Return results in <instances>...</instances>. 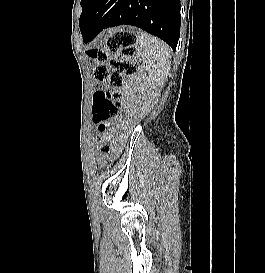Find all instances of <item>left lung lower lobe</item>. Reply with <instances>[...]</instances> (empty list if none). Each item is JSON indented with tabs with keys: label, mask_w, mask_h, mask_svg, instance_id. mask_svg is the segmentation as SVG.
Returning <instances> with one entry per match:
<instances>
[{
	"label": "left lung lower lobe",
	"mask_w": 265,
	"mask_h": 273,
	"mask_svg": "<svg viewBox=\"0 0 265 273\" xmlns=\"http://www.w3.org/2000/svg\"><path fill=\"white\" fill-rule=\"evenodd\" d=\"M180 18V0H90L80 30L88 43L105 28L128 24L161 38L175 51Z\"/></svg>",
	"instance_id": "1"
}]
</instances>
